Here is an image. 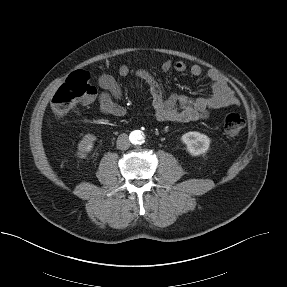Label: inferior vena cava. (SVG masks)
<instances>
[{
    "label": "inferior vena cava",
    "mask_w": 287,
    "mask_h": 287,
    "mask_svg": "<svg viewBox=\"0 0 287 287\" xmlns=\"http://www.w3.org/2000/svg\"><path fill=\"white\" fill-rule=\"evenodd\" d=\"M116 145H117V148L120 150L128 149L130 146L128 135L125 133L119 135L116 141Z\"/></svg>",
    "instance_id": "602c4592"
}]
</instances>
